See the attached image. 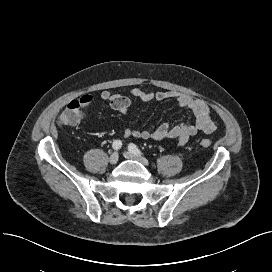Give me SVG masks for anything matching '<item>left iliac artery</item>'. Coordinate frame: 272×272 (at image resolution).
Here are the masks:
<instances>
[{
    "instance_id": "1",
    "label": "left iliac artery",
    "mask_w": 272,
    "mask_h": 272,
    "mask_svg": "<svg viewBox=\"0 0 272 272\" xmlns=\"http://www.w3.org/2000/svg\"><path fill=\"white\" fill-rule=\"evenodd\" d=\"M129 150L136 154V155H142L143 153L141 152V150L133 143H130L128 146Z\"/></svg>"
}]
</instances>
